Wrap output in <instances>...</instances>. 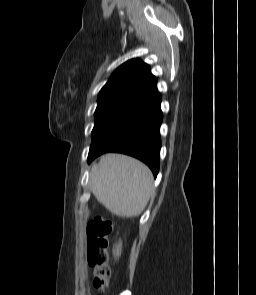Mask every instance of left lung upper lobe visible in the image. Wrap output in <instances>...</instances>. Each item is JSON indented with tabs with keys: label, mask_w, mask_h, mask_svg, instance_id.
I'll use <instances>...</instances> for the list:
<instances>
[{
	"label": "left lung upper lobe",
	"mask_w": 256,
	"mask_h": 295,
	"mask_svg": "<svg viewBox=\"0 0 256 295\" xmlns=\"http://www.w3.org/2000/svg\"><path fill=\"white\" fill-rule=\"evenodd\" d=\"M158 95L149 65L138 59L121 65L99 93L91 145Z\"/></svg>",
	"instance_id": "left-lung-upper-lobe-1"
}]
</instances>
